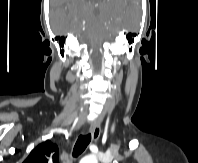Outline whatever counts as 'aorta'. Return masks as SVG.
Instances as JSON below:
<instances>
[{"label":"aorta","mask_w":198,"mask_h":163,"mask_svg":"<svg viewBox=\"0 0 198 163\" xmlns=\"http://www.w3.org/2000/svg\"><path fill=\"white\" fill-rule=\"evenodd\" d=\"M80 163H98V160L95 156L89 155L85 156L80 160Z\"/></svg>","instance_id":"aorta-1"}]
</instances>
